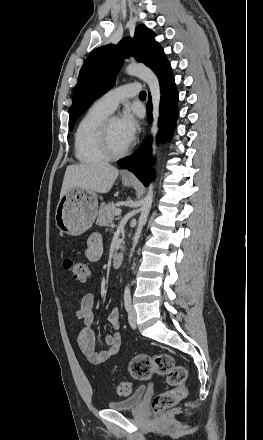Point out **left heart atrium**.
<instances>
[{
	"instance_id": "left-heart-atrium-1",
	"label": "left heart atrium",
	"mask_w": 263,
	"mask_h": 440,
	"mask_svg": "<svg viewBox=\"0 0 263 440\" xmlns=\"http://www.w3.org/2000/svg\"><path fill=\"white\" fill-rule=\"evenodd\" d=\"M118 121L125 140L130 144L134 140L139 129L137 114L134 111L127 109Z\"/></svg>"
}]
</instances>
